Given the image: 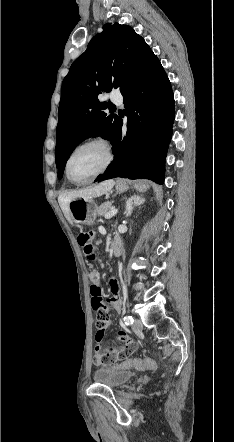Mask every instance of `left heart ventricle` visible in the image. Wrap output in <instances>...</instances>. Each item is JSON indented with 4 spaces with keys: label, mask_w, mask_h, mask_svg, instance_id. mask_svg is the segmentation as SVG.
Masks as SVG:
<instances>
[{
    "label": "left heart ventricle",
    "mask_w": 234,
    "mask_h": 442,
    "mask_svg": "<svg viewBox=\"0 0 234 442\" xmlns=\"http://www.w3.org/2000/svg\"><path fill=\"white\" fill-rule=\"evenodd\" d=\"M105 152L100 146H87L78 150L70 161L73 179L83 181L95 174L104 164Z\"/></svg>",
    "instance_id": "obj_1"
}]
</instances>
